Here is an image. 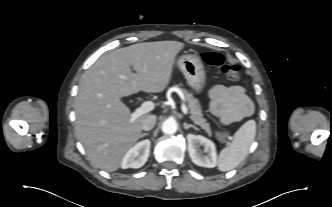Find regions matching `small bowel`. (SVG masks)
I'll list each match as a JSON object with an SVG mask.
<instances>
[{"label": "small bowel", "mask_w": 332, "mask_h": 207, "mask_svg": "<svg viewBox=\"0 0 332 207\" xmlns=\"http://www.w3.org/2000/svg\"><path fill=\"white\" fill-rule=\"evenodd\" d=\"M211 112L228 125L252 115L254 106L241 86L217 85L211 89Z\"/></svg>", "instance_id": "c3829d8e"}]
</instances>
